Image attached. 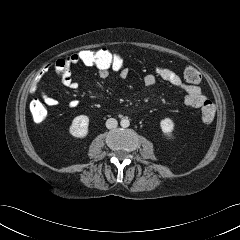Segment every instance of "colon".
Returning <instances> with one entry per match:
<instances>
[{
	"instance_id": "1",
	"label": "colon",
	"mask_w": 240,
	"mask_h": 240,
	"mask_svg": "<svg viewBox=\"0 0 240 240\" xmlns=\"http://www.w3.org/2000/svg\"><path fill=\"white\" fill-rule=\"evenodd\" d=\"M76 64H82L88 67L107 68L113 71H120L126 68V60L120 54L108 49L90 50L85 49L72 54ZM183 77L190 84H197L201 80L198 70L192 66L186 67L183 71ZM30 113L35 122H42L47 117V110L39 100H33L30 103ZM215 108L211 101H206L201 109L202 121L206 124L214 119Z\"/></svg>"
}]
</instances>
